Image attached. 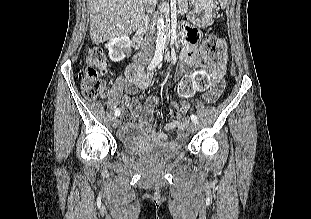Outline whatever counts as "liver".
Here are the masks:
<instances>
[{"instance_id": "6515ba94", "label": "liver", "mask_w": 311, "mask_h": 219, "mask_svg": "<svg viewBox=\"0 0 311 219\" xmlns=\"http://www.w3.org/2000/svg\"><path fill=\"white\" fill-rule=\"evenodd\" d=\"M144 0H87L90 37L99 44L135 32L144 18Z\"/></svg>"}]
</instances>
